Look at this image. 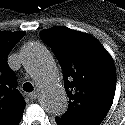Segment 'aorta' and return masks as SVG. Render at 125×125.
Returning a JSON list of instances; mask_svg holds the SVG:
<instances>
[{"mask_svg":"<svg viewBox=\"0 0 125 125\" xmlns=\"http://www.w3.org/2000/svg\"><path fill=\"white\" fill-rule=\"evenodd\" d=\"M20 58L40 89L41 107L56 116L64 114L68 107V98L48 50L41 44H30L22 50Z\"/></svg>","mask_w":125,"mask_h":125,"instance_id":"aorta-1","label":"aorta"}]
</instances>
